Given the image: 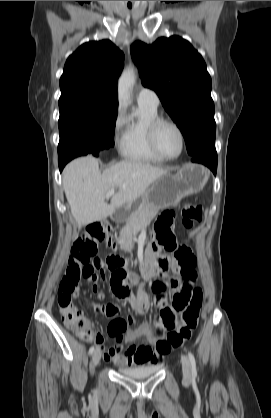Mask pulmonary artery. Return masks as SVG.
I'll list each match as a JSON object with an SVG mask.
<instances>
[{
    "label": "pulmonary artery",
    "mask_w": 271,
    "mask_h": 418,
    "mask_svg": "<svg viewBox=\"0 0 271 418\" xmlns=\"http://www.w3.org/2000/svg\"><path fill=\"white\" fill-rule=\"evenodd\" d=\"M137 101L140 104H147L152 107H158L159 97L155 91L149 88H142L137 96Z\"/></svg>",
    "instance_id": "e3ab8cb5"
}]
</instances>
